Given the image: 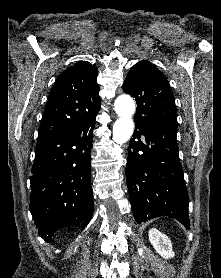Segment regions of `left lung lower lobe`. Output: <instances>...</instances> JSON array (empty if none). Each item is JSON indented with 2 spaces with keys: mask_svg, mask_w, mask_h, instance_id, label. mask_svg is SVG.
Instances as JSON below:
<instances>
[{
  "mask_svg": "<svg viewBox=\"0 0 221 278\" xmlns=\"http://www.w3.org/2000/svg\"><path fill=\"white\" fill-rule=\"evenodd\" d=\"M177 127L135 122L126 183L137 223L169 216L189 229V197L177 146Z\"/></svg>",
  "mask_w": 221,
  "mask_h": 278,
  "instance_id": "left-lung-lower-lobe-1",
  "label": "left lung lower lobe"
}]
</instances>
